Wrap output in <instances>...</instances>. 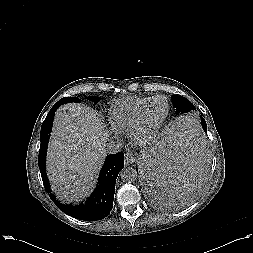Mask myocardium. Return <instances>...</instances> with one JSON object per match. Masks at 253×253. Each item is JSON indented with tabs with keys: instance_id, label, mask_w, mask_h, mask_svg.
<instances>
[{
	"instance_id": "1",
	"label": "myocardium",
	"mask_w": 253,
	"mask_h": 253,
	"mask_svg": "<svg viewBox=\"0 0 253 253\" xmlns=\"http://www.w3.org/2000/svg\"><path fill=\"white\" fill-rule=\"evenodd\" d=\"M158 98H163L166 100L167 111L159 123H157L156 125H154L152 127H146L145 122H146V115H147L148 109H149L150 105ZM170 111H171V106H170V102L167 99V97H165L163 95H156V96L150 98V100H148L141 108L138 118H137L131 132H130L131 136L137 140H148V139L153 138L162 129V127L166 123V121L170 115Z\"/></svg>"
}]
</instances>
